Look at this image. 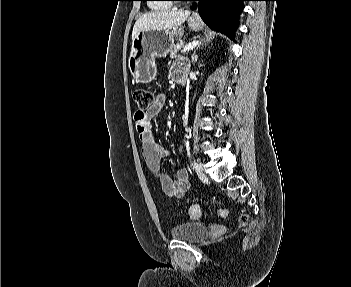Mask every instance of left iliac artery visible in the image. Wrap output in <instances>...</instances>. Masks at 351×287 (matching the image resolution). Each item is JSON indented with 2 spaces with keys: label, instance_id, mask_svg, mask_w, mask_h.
<instances>
[{
  "label": "left iliac artery",
  "instance_id": "1",
  "mask_svg": "<svg viewBox=\"0 0 351 287\" xmlns=\"http://www.w3.org/2000/svg\"><path fill=\"white\" fill-rule=\"evenodd\" d=\"M192 166H193V169L197 168V163L195 160L193 161Z\"/></svg>",
  "mask_w": 351,
  "mask_h": 287
}]
</instances>
